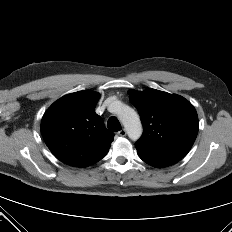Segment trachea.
Returning <instances> with one entry per match:
<instances>
[{"mask_svg": "<svg viewBox=\"0 0 232 232\" xmlns=\"http://www.w3.org/2000/svg\"><path fill=\"white\" fill-rule=\"evenodd\" d=\"M107 126H108V129L110 131H113V132H117V131H120L122 129L120 122L114 116L109 118V120L107 122Z\"/></svg>", "mask_w": 232, "mask_h": 232, "instance_id": "trachea-1", "label": "trachea"}]
</instances>
